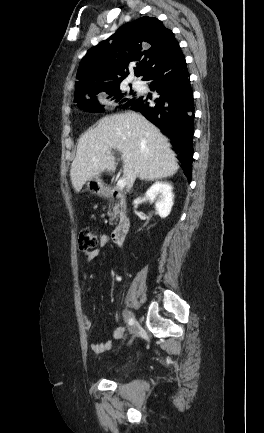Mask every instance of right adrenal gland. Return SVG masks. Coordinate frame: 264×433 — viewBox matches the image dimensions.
Wrapping results in <instances>:
<instances>
[{"mask_svg":"<svg viewBox=\"0 0 264 433\" xmlns=\"http://www.w3.org/2000/svg\"><path fill=\"white\" fill-rule=\"evenodd\" d=\"M145 181L147 182V181H151L150 179H145Z\"/></svg>","mask_w":264,"mask_h":433,"instance_id":"2a0ac1e0","label":"right adrenal gland"}]
</instances>
